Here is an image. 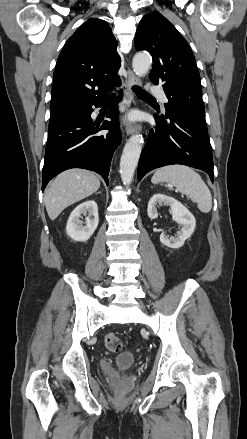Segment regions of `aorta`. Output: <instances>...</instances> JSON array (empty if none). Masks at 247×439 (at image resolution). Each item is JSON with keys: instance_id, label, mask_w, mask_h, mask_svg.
<instances>
[{"instance_id": "aorta-1", "label": "aorta", "mask_w": 247, "mask_h": 439, "mask_svg": "<svg viewBox=\"0 0 247 439\" xmlns=\"http://www.w3.org/2000/svg\"><path fill=\"white\" fill-rule=\"evenodd\" d=\"M151 63L152 58L150 55L138 53L133 57V71L138 76H145L151 67ZM142 144V135L136 134L131 136L124 146L120 159V175L125 185H130L132 183L134 172L142 151Z\"/></svg>"}]
</instances>
